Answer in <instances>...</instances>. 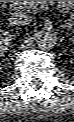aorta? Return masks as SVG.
<instances>
[{
  "instance_id": "1",
  "label": "aorta",
  "mask_w": 74,
  "mask_h": 122,
  "mask_svg": "<svg viewBox=\"0 0 74 122\" xmlns=\"http://www.w3.org/2000/svg\"><path fill=\"white\" fill-rule=\"evenodd\" d=\"M57 43V35L53 30L43 29L37 33V44L42 50L53 48Z\"/></svg>"
}]
</instances>
